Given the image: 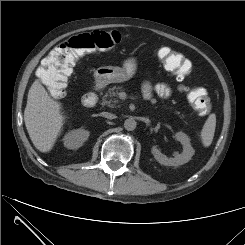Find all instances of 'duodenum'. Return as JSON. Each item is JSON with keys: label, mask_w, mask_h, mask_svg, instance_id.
<instances>
[{"label": "duodenum", "mask_w": 245, "mask_h": 245, "mask_svg": "<svg viewBox=\"0 0 245 245\" xmlns=\"http://www.w3.org/2000/svg\"><path fill=\"white\" fill-rule=\"evenodd\" d=\"M101 89V85L97 83L95 90L84 94L81 98V105L85 108L94 106L98 100L97 92Z\"/></svg>", "instance_id": "duodenum-1"}]
</instances>
